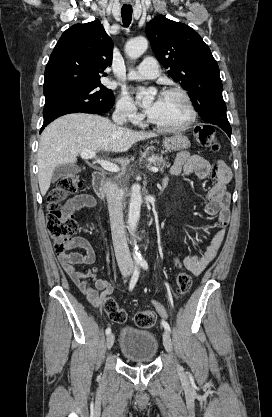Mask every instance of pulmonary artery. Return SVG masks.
Listing matches in <instances>:
<instances>
[{
    "instance_id": "1",
    "label": "pulmonary artery",
    "mask_w": 272,
    "mask_h": 417,
    "mask_svg": "<svg viewBox=\"0 0 272 417\" xmlns=\"http://www.w3.org/2000/svg\"><path fill=\"white\" fill-rule=\"evenodd\" d=\"M159 76L157 61L152 57H146L138 68L129 74L130 79H154Z\"/></svg>"
}]
</instances>
